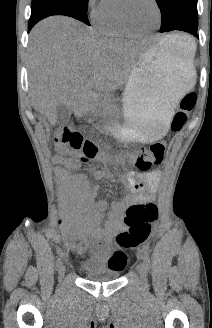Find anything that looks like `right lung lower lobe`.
<instances>
[{"label":"right lung lower lobe","instance_id":"98d812e1","mask_svg":"<svg viewBox=\"0 0 212 328\" xmlns=\"http://www.w3.org/2000/svg\"><path fill=\"white\" fill-rule=\"evenodd\" d=\"M52 15H66L73 18L78 19V15L65 7H53V6H46V5H39L36 7H33L31 9V16L29 19L28 24V32L31 30V28L40 20L52 16ZM79 20V19H78Z\"/></svg>","mask_w":212,"mask_h":328}]
</instances>
